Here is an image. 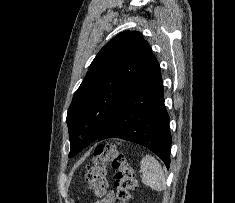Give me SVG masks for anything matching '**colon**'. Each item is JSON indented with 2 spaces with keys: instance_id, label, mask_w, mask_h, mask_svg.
<instances>
[{
  "instance_id": "colon-1",
  "label": "colon",
  "mask_w": 235,
  "mask_h": 203,
  "mask_svg": "<svg viewBox=\"0 0 235 203\" xmlns=\"http://www.w3.org/2000/svg\"><path fill=\"white\" fill-rule=\"evenodd\" d=\"M109 167L115 173V203H128L136 187L134 171L125 155L114 144H101L95 148L91 164L86 168V184L97 195L105 194L109 185Z\"/></svg>"
}]
</instances>
